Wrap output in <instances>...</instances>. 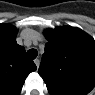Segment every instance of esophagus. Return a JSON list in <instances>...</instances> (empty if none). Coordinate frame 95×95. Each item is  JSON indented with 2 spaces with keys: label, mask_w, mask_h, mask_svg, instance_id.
<instances>
[{
  "label": "esophagus",
  "mask_w": 95,
  "mask_h": 95,
  "mask_svg": "<svg viewBox=\"0 0 95 95\" xmlns=\"http://www.w3.org/2000/svg\"><path fill=\"white\" fill-rule=\"evenodd\" d=\"M34 63H35V65L37 66V69H38V68H39V65H40L39 59H35V60H34Z\"/></svg>",
  "instance_id": "esophagus-1"
}]
</instances>
